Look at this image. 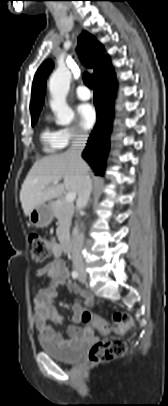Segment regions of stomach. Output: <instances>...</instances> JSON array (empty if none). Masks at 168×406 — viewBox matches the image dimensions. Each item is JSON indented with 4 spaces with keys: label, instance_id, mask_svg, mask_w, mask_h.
Listing matches in <instances>:
<instances>
[{
    "label": "stomach",
    "instance_id": "1",
    "mask_svg": "<svg viewBox=\"0 0 168 406\" xmlns=\"http://www.w3.org/2000/svg\"><path fill=\"white\" fill-rule=\"evenodd\" d=\"M53 220V206L41 204L35 207L29 214V221L33 226L45 227Z\"/></svg>",
    "mask_w": 168,
    "mask_h": 406
}]
</instances>
